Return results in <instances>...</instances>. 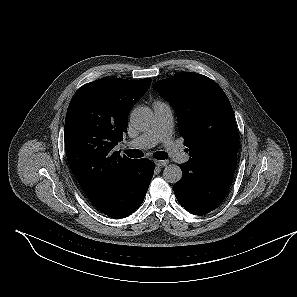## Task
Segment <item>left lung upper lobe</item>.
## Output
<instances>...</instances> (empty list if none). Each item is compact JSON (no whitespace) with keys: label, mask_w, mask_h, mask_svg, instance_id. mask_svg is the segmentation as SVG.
<instances>
[{"label":"left lung upper lobe","mask_w":297,"mask_h":297,"mask_svg":"<svg viewBox=\"0 0 297 297\" xmlns=\"http://www.w3.org/2000/svg\"><path fill=\"white\" fill-rule=\"evenodd\" d=\"M153 89L176 111L192 164L207 169L231 164L239 150L235 115L226 94L210 78L193 72L157 81Z\"/></svg>","instance_id":"left-lung-upper-lobe-1"}]
</instances>
